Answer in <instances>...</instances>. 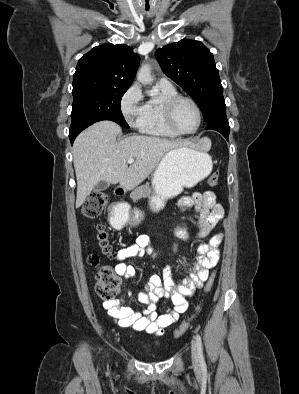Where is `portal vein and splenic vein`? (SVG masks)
I'll return each mask as SVG.
<instances>
[{
  "instance_id": "portal-vein-and-splenic-vein-1",
  "label": "portal vein and splenic vein",
  "mask_w": 299,
  "mask_h": 394,
  "mask_svg": "<svg viewBox=\"0 0 299 394\" xmlns=\"http://www.w3.org/2000/svg\"><path fill=\"white\" fill-rule=\"evenodd\" d=\"M134 161H135V160H134L133 158H130V159L127 160V163H128V164H132V163H134Z\"/></svg>"
}]
</instances>
